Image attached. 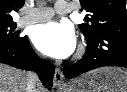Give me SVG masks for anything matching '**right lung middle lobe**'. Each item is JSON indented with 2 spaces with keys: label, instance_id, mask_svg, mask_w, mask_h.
Instances as JSON below:
<instances>
[{
  "label": "right lung middle lobe",
  "instance_id": "obj_1",
  "mask_svg": "<svg viewBox=\"0 0 127 92\" xmlns=\"http://www.w3.org/2000/svg\"><path fill=\"white\" fill-rule=\"evenodd\" d=\"M15 23L0 24V41H7L12 43H21L26 36H19Z\"/></svg>",
  "mask_w": 127,
  "mask_h": 92
}]
</instances>
